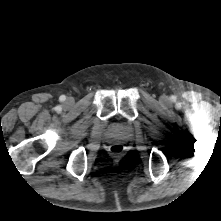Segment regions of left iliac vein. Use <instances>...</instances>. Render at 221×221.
<instances>
[{"label": "left iliac vein", "instance_id": "obj_1", "mask_svg": "<svg viewBox=\"0 0 221 221\" xmlns=\"http://www.w3.org/2000/svg\"><path fill=\"white\" fill-rule=\"evenodd\" d=\"M168 101V98L166 96L161 97V102L165 103Z\"/></svg>", "mask_w": 221, "mask_h": 221}]
</instances>
